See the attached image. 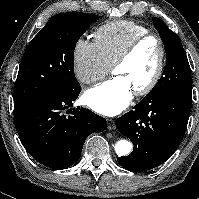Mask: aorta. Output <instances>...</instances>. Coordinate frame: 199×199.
Masks as SVG:
<instances>
[{
	"instance_id": "1",
	"label": "aorta",
	"mask_w": 199,
	"mask_h": 199,
	"mask_svg": "<svg viewBox=\"0 0 199 199\" xmlns=\"http://www.w3.org/2000/svg\"><path fill=\"white\" fill-rule=\"evenodd\" d=\"M132 144L127 140H119L115 145V151L120 156H126L131 152Z\"/></svg>"
}]
</instances>
